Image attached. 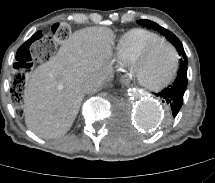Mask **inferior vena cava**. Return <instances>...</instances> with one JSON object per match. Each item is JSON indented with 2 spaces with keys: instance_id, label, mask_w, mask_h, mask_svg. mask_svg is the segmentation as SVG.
<instances>
[{
  "instance_id": "602c4592",
  "label": "inferior vena cava",
  "mask_w": 215,
  "mask_h": 183,
  "mask_svg": "<svg viewBox=\"0 0 215 183\" xmlns=\"http://www.w3.org/2000/svg\"><path fill=\"white\" fill-rule=\"evenodd\" d=\"M104 77H100L96 80H89L83 83L82 90L84 93H92L97 91L104 82Z\"/></svg>"
}]
</instances>
